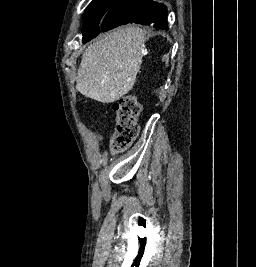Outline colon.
Listing matches in <instances>:
<instances>
[{
  "label": "colon",
  "mask_w": 256,
  "mask_h": 267,
  "mask_svg": "<svg viewBox=\"0 0 256 267\" xmlns=\"http://www.w3.org/2000/svg\"><path fill=\"white\" fill-rule=\"evenodd\" d=\"M113 110L118 116L113 148L117 152L127 149L136 140L139 132L138 118L142 112L135 94L125 95L113 103Z\"/></svg>",
  "instance_id": "5ec220e1"
}]
</instances>
